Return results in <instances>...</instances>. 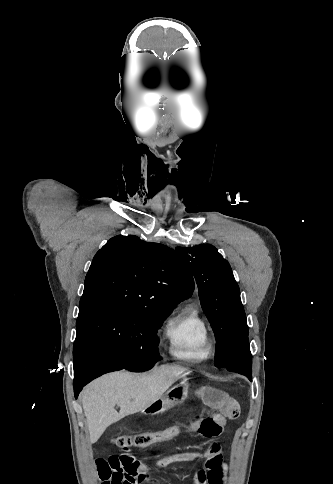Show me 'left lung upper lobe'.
Returning <instances> with one entry per match:
<instances>
[{
  "instance_id": "5c2ea615",
  "label": "left lung upper lobe",
  "mask_w": 333,
  "mask_h": 484,
  "mask_svg": "<svg viewBox=\"0 0 333 484\" xmlns=\"http://www.w3.org/2000/svg\"><path fill=\"white\" fill-rule=\"evenodd\" d=\"M197 285L202 309L216 337L215 363L247 376L241 365L230 364V354L241 338L248 335L240 290L227 260L210 244L177 247Z\"/></svg>"
}]
</instances>
